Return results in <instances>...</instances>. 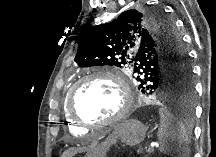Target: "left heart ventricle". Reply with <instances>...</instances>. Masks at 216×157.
I'll use <instances>...</instances> for the list:
<instances>
[{"label": "left heart ventricle", "mask_w": 216, "mask_h": 157, "mask_svg": "<svg viewBox=\"0 0 216 157\" xmlns=\"http://www.w3.org/2000/svg\"><path fill=\"white\" fill-rule=\"evenodd\" d=\"M118 87L107 79H90L75 92L76 113L85 120L101 121L112 118L121 106Z\"/></svg>", "instance_id": "left-heart-ventricle-1"}]
</instances>
